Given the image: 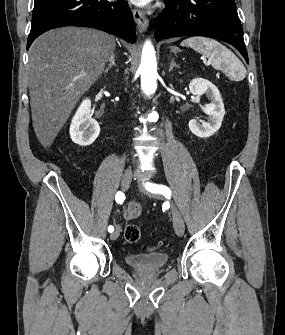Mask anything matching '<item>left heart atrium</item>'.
<instances>
[{
	"instance_id": "1",
	"label": "left heart atrium",
	"mask_w": 285,
	"mask_h": 335,
	"mask_svg": "<svg viewBox=\"0 0 285 335\" xmlns=\"http://www.w3.org/2000/svg\"><path fill=\"white\" fill-rule=\"evenodd\" d=\"M137 5H140V6H144L146 4H148L150 1H131Z\"/></svg>"
}]
</instances>
